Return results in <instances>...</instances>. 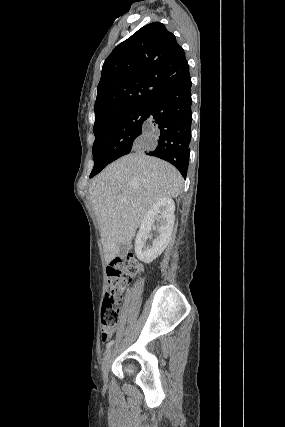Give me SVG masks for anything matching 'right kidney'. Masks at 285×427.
<instances>
[{
    "label": "right kidney",
    "mask_w": 285,
    "mask_h": 427,
    "mask_svg": "<svg viewBox=\"0 0 285 427\" xmlns=\"http://www.w3.org/2000/svg\"><path fill=\"white\" fill-rule=\"evenodd\" d=\"M175 204L169 197L159 199L145 214L140 224V229L135 239V253L139 260L150 263L156 259L170 242L174 220ZM158 220L157 230L159 235L147 243L154 222Z\"/></svg>",
    "instance_id": "right-kidney-1"
}]
</instances>
